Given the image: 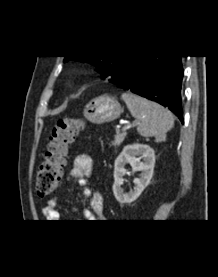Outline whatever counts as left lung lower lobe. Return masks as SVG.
Returning <instances> with one entry per match:
<instances>
[{
	"label": "left lung lower lobe",
	"mask_w": 218,
	"mask_h": 277,
	"mask_svg": "<svg viewBox=\"0 0 218 277\" xmlns=\"http://www.w3.org/2000/svg\"><path fill=\"white\" fill-rule=\"evenodd\" d=\"M181 56L136 55L109 79L120 88L167 107L183 121Z\"/></svg>",
	"instance_id": "1"
}]
</instances>
